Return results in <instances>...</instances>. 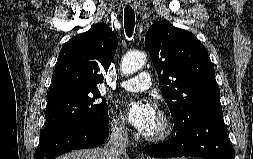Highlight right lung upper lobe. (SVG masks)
<instances>
[{"instance_id":"cb5924a9","label":"right lung upper lobe","mask_w":253,"mask_h":159,"mask_svg":"<svg viewBox=\"0 0 253 159\" xmlns=\"http://www.w3.org/2000/svg\"><path fill=\"white\" fill-rule=\"evenodd\" d=\"M118 46L111 28L100 23L69 40L59 53L48 98L98 90Z\"/></svg>"}]
</instances>
